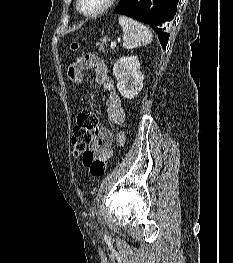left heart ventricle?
Wrapping results in <instances>:
<instances>
[{
    "instance_id": "1",
    "label": "left heart ventricle",
    "mask_w": 233,
    "mask_h": 263,
    "mask_svg": "<svg viewBox=\"0 0 233 263\" xmlns=\"http://www.w3.org/2000/svg\"><path fill=\"white\" fill-rule=\"evenodd\" d=\"M104 2L105 0H82L81 7L86 12H93L99 9Z\"/></svg>"
}]
</instances>
